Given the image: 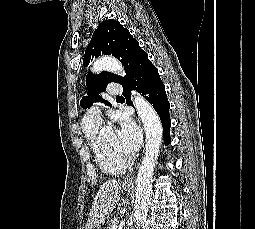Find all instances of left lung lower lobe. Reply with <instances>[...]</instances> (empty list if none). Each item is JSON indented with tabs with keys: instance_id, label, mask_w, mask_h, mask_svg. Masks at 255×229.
Instances as JSON below:
<instances>
[{
	"instance_id": "1",
	"label": "left lung lower lobe",
	"mask_w": 255,
	"mask_h": 229,
	"mask_svg": "<svg viewBox=\"0 0 255 229\" xmlns=\"http://www.w3.org/2000/svg\"><path fill=\"white\" fill-rule=\"evenodd\" d=\"M123 87V95L128 105H132L130 99V91L132 88L144 95L146 100L152 104L162 122L164 143L168 145L171 141L170 105L165 92V86L160 79L158 70L148 59L146 53L143 54L130 78L123 84Z\"/></svg>"
}]
</instances>
